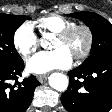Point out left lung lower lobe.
I'll return each instance as SVG.
<instances>
[{"mask_svg":"<svg viewBox=\"0 0 112 112\" xmlns=\"http://www.w3.org/2000/svg\"><path fill=\"white\" fill-rule=\"evenodd\" d=\"M69 87L61 96L68 112H109L112 108V58L69 71Z\"/></svg>","mask_w":112,"mask_h":112,"instance_id":"left-lung-lower-lobe-1","label":"left lung lower lobe"}]
</instances>
